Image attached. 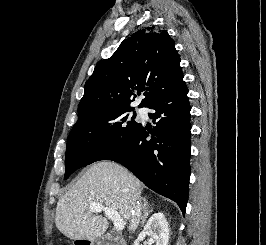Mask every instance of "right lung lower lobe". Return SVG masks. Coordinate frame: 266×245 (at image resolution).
<instances>
[{"instance_id":"1","label":"right lung lower lobe","mask_w":266,"mask_h":245,"mask_svg":"<svg viewBox=\"0 0 266 245\" xmlns=\"http://www.w3.org/2000/svg\"><path fill=\"white\" fill-rule=\"evenodd\" d=\"M184 81L148 104L153 130L140 124L131 142L110 155L128 168L147 187L175 201L183 215L188 200L190 164V106ZM147 137H151L150 140Z\"/></svg>"}]
</instances>
